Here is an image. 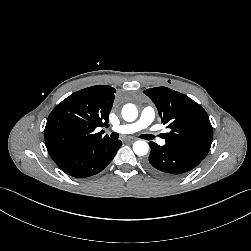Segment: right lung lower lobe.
<instances>
[{"label":"right lung lower lobe","mask_w":251,"mask_h":251,"mask_svg":"<svg viewBox=\"0 0 251 251\" xmlns=\"http://www.w3.org/2000/svg\"><path fill=\"white\" fill-rule=\"evenodd\" d=\"M120 140H103L88 144L56 162L66 174L84 178L102 171L114 158L121 147Z\"/></svg>","instance_id":"1"}]
</instances>
